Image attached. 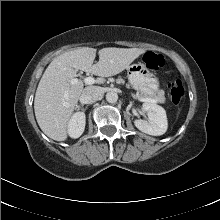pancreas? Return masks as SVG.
<instances>
[{
  "label": "pancreas",
  "instance_id": "1",
  "mask_svg": "<svg viewBox=\"0 0 220 220\" xmlns=\"http://www.w3.org/2000/svg\"><path fill=\"white\" fill-rule=\"evenodd\" d=\"M118 83H123V80L122 79H119L118 80ZM140 97H143V95L141 94H138ZM154 99L158 102V103H165L166 101V98L163 94V92H160L159 95H157L156 97H154Z\"/></svg>",
  "mask_w": 220,
  "mask_h": 220
}]
</instances>
